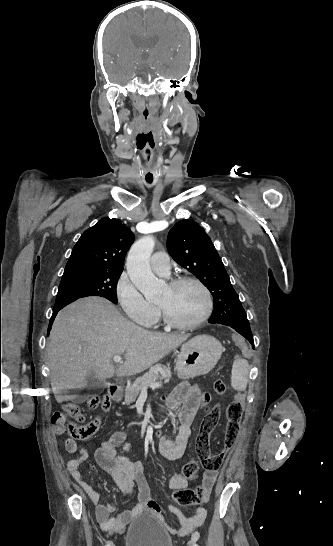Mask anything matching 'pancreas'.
<instances>
[{
	"label": "pancreas",
	"mask_w": 333,
	"mask_h": 546,
	"mask_svg": "<svg viewBox=\"0 0 333 546\" xmlns=\"http://www.w3.org/2000/svg\"><path fill=\"white\" fill-rule=\"evenodd\" d=\"M171 378V370L169 367L161 364H156L143 376L138 377L133 384L125 389V403L130 404L135 401L139 393L145 388V385L156 382L157 380H169ZM148 387V386H147ZM146 387V388H147Z\"/></svg>",
	"instance_id": "obj_1"
}]
</instances>
